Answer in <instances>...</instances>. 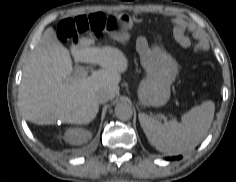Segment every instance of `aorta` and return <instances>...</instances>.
Returning a JSON list of instances; mask_svg holds the SVG:
<instances>
[{"label": "aorta", "instance_id": "aorta-1", "mask_svg": "<svg viewBox=\"0 0 236 182\" xmlns=\"http://www.w3.org/2000/svg\"><path fill=\"white\" fill-rule=\"evenodd\" d=\"M115 115L120 120H130L133 115L131 105L127 102H119L115 107Z\"/></svg>", "mask_w": 236, "mask_h": 182}]
</instances>
